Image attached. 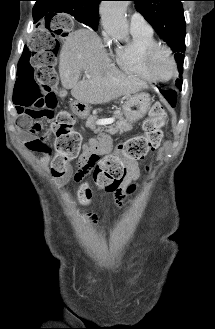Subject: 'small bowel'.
<instances>
[{
    "instance_id": "c3829d8e",
    "label": "small bowel",
    "mask_w": 215,
    "mask_h": 329,
    "mask_svg": "<svg viewBox=\"0 0 215 329\" xmlns=\"http://www.w3.org/2000/svg\"><path fill=\"white\" fill-rule=\"evenodd\" d=\"M27 122L21 117L20 119V127L23 125H26ZM23 131V130H22ZM25 132V131H24ZM26 134L29 135L28 138L24 140L25 146L41 155L40 160L42 163L46 164L49 161L50 155H51V147L49 151L45 150H38L32 147V141L37 138V135H34L29 132H25ZM42 139V138H41ZM45 141L44 139H42ZM46 142V141H45ZM109 142L107 140H102L101 142L97 140H90L84 147H83V154L82 157L91 155V154H103L107 151L108 149ZM80 159V162H81ZM124 165L127 169V176L125 178V184L118 189L117 191L114 192V198L117 203L120 205L123 204V198L124 194H136V192H140V189H144L145 184L144 182H140L138 175H139V167L137 163L134 160H125ZM126 185V187H125ZM87 221L90 225L96 227L98 224V218L95 214L90 213L86 216Z\"/></svg>"
}]
</instances>
